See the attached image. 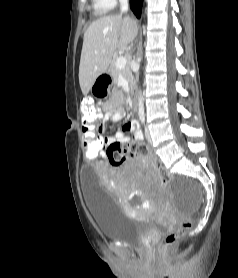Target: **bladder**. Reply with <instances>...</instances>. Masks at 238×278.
Returning <instances> with one entry per match:
<instances>
[{"mask_svg":"<svg viewBox=\"0 0 238 278\" xmlns=\"http://www.w3.org/2000/svg\"><path fill=\"white\" fill-rule=\"evenodd\" d=\"M83 180H95L93 167H84ZM89 209L100 234L109 240L122 241L130 246H144L148 232L146 221L127 215L118 199L98 181L83 184ZM167 223L155 227L164 228Z\"/></svg>","mask_w":238,"mask_h":278,"instance_id":"bladder-1","label":"bladder"}]
</instances>
